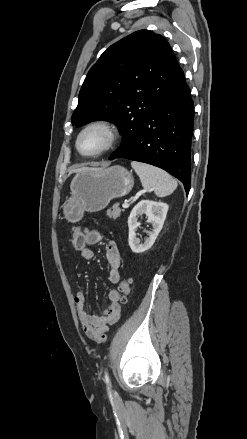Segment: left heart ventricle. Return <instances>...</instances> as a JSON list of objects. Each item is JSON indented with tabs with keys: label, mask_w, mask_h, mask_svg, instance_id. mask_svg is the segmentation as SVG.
<instances>
[{
	"label": "left heart ventricle",
	"mask_w": 247,
	"mask_h": 439,
	"mask_svg": "<svg viewBox=\"0 0 247 439\" xmlns=\"http://www.w3.org/2000/svg\"><path fill=\"white\" fill-rule=\"evenodd\" d=\"M107 141V134L103 129L94 128L87 131L80 140V148L84 153H93L101 149Z\"/></svg>",
	"instance_id": "left-heart-ventricle-1"
}]
</instances>
